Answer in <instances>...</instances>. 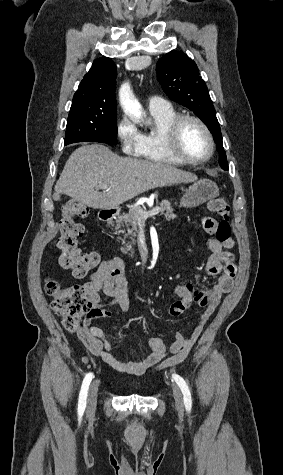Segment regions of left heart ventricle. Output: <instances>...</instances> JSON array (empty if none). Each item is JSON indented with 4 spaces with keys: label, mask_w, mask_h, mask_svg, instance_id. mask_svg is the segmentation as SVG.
<instances>
[{
    "label": "left heart ventricle",
    "mask_w": 283,
    "mask_h": 475,
    "mask_svg": "<svg viewBox=\"0 0 283 475\" xmlns=\"http://www.w3.org/2000/svg\"><path fill=\"white\" fill-rule=\"evenodd\" d=\"M166 151L174 158H200L209 151V143L197 123L186 121L181 127L178 143H167Z\"/></svg>",
    "instance_id": "left-heart-ventricle-1"
}]
</instances>
